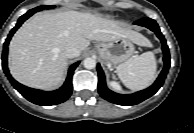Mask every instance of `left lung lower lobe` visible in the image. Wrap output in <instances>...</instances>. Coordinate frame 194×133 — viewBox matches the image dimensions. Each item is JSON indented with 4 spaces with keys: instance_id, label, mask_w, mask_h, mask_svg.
I'll list each match as a JSON object with an SVG mask.
<instances>
[{
    "instance_id": "left-lung-lower-lobe-1",
    "label": "left lung lower lobe",
    "mask_w": 194,
    "mask_h": 133,
    "mask_svg": "<svg viewBox=\"0 0 194 133\" xmlns=\"http://www.w3.org/2000/svg\"><path fill=\"white\" fill-rule=\"evenodd\" d=\"M135 24L149 28L151 31L155 32L157 37L161 40L162 50L164 53V58H163L164 68L160 73L159 77L157 78V80L155 81V83L149 88L136 92L134 94L122 95V94L114 93L107 88L103 70L101 66L98 64L97 65L98 76H99L98 92L102 98L118 105H124V106L136 105L144 101L145 99L151 97L152 95H154L159 90V88L163 85L167 72L170 67L169 48L166 44V40L163 34L160 32V28L156 23V21L148 17H144L140 20H137Z\"/></svg>"
}]
</instances>
